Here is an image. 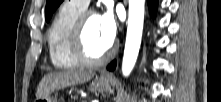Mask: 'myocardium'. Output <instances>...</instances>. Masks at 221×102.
I'll return each mask as SVG.
<instances>
[{"label":"myocardium","mask_w":221,"mask_h":102,"mask_svg":"<svg viewBox=\"0 0 221 102\" xmlns=\"http://www.w3.org/2000/svg\"><path fill=\"white\" fill-rule=\"evenodd\" d=\"M95 15L93 12H83L77 19L71 34V50L76 60L86 66H98L107 61L114 52V46L109 48L99 57H91L85 48L84 32L88 18Z\"/></svg>","instance_id":"myocardium-1"}]
</instances>
